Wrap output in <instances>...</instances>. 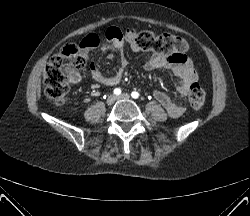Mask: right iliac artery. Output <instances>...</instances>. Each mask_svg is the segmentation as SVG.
Returning a JSON list of instances; mask_svg holds the SVG:
<instances>
[{
  "label": "right iliac artery",
  "mask_w": 250,
  "mask_h": 216,
  "mask_svg": "<svg viewBox=\"0 0 250 216\" xmlns=\"http://www.w3.org/2000/svg\"><path fill=\"white\" fill-rule=\"evenodd\" d=\"M114 94H115V95L121 94V89H120V88H115V89H114Z\"/></svg>",
  "instance_id": "right-iliac-artery-1"
}]
</instances>
